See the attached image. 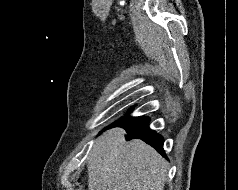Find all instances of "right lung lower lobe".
I'll use <instances>...</instances> for the list:
<instances>
[{
  "mask_svg": "<svg viewBox=\"0 0 238 190\" xmlns=\"http://www.w3.org/2000/svg\"><path fill=\"white\" fill-rule=\"evenodd\" d=\"M149 122L150 118L143 116L120 124L118 126L126 130L127 141L135 138L142 139L144 142L154 147L161 155L167 158L163 149L164 139L161 135L149 128Z\"/></svg>",
  "mask_w": 238,
  "mask_h": 190,
  "instance_id": "98d812e1",
  "label": "right lung lower lobe"
}]
</instances>
